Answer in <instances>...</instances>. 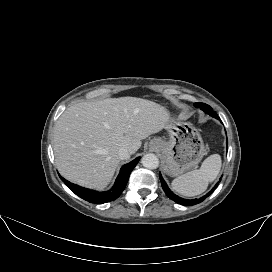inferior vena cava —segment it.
<instances>
[{
  "mask_svg": "<svg viewBox=\"0 0 272 272\" xmlns=\"http://www.w3.org/2000/svg\"><path fill=\"white\" fill-rule=\"evenodd\" d=\"M131 153L125 147H122L118 150V157L120 160H126L130 157Z\"/></svg>",
  "mask_w": 272,
  "mask_h": 272,
  "instance_id": "1",
  "label": "inferior vena cava"
}]
</instances>
